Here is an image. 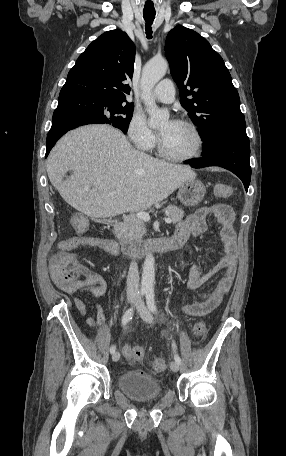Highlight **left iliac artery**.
<instances>
[{
  "mask_svg": "<svg viewBox=\"0 0 286 456\" xmlns=\"http://www.w3.org/2000/svg\"><path fill=\"white\" fill-rule=\"evenodd\" d=\"M146 303H147V306L149 308V310L156 314L157 313V307H156V304H155V294H154V291L153 290H147L146 291ZM172 347H173V350L176 351V345L175 343L173 342L172 344ZM174 359L177 363H181V358L179 357L178 354H176L175 352V355H174Z\"/></svg>",
  "mask_w": 286,
  "mask_h": 456,
  "instance_id": "44dca946",
  "label": "left iliac artery"
}]
</instances>
